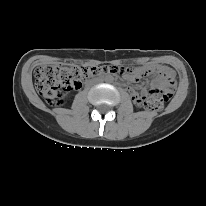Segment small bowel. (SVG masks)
Segmentation results:
<instances>
[{
	"label": "small bowel",
	"instance_id": "c3829d8e",
	"mask_svg": "<svg viewBox=\"0 0 206 206\" xmlns=\"http://www.w3.org/2000/svg\"><path fill=\"white\" fill-rule=\"evenodd\" d=\"M143 70L137 71L135 75H126L124 78L126 81L130 83H134L138 81V78L141 76L143 73ZM151 72L161 81L166 82L168 79L173 77V73L171 70L164 68V67H157L151 70ZM135 95V93H134Z\"/></svg>",
	"mask_w": 206,
	"mask_h": 206
}]
</instances>
